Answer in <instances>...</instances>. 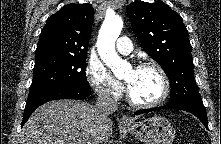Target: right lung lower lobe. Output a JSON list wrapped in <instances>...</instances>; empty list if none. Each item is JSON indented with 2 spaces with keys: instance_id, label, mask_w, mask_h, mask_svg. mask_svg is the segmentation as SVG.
I'll use <instances>...</instances> for the list:
<instances>
[{
  "instance_id": "98d812e1",
  "label": "right lung lower lobe",
  "mask_w": 221,
  "mask_h": 144,
  "mask_svg": "<svg viewBox=\"0 0 221 144\" xmlns=\"http://www.w3.org/2000/svg\"><path fill=\"white\" fill-rule=\"evenodd\" d=\"M91 93L90 89L74 88V87H60L50 90L40 95L35 100L26 103L22 126L28 120L32 112L40 105L57 99H82Z\"/></svg>"
}]
</instances>
